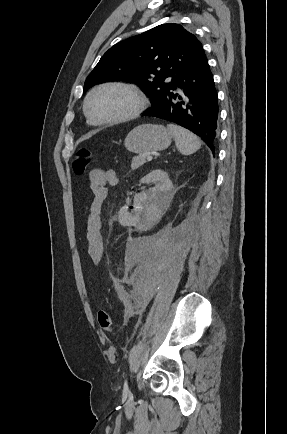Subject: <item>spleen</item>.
Listing matches in <instances>:
<instances>
[{
    "label": "spleen",
    "mask_w": 287,
    "mask_h": 434,
    "mask_svg": "<svg viewBox=\"0 0 287 434\" xmlns=\"http://www.w3.org/2000/svg\"><path fill=\"white\" fill-rule=\"evenodd\" d=\"M167 128L175 140L177 149L183 155H191L200 149L201 142L192 132L174 124H169Z\"/></svg>",
    "instance_id": "1"
}]
</instances>
